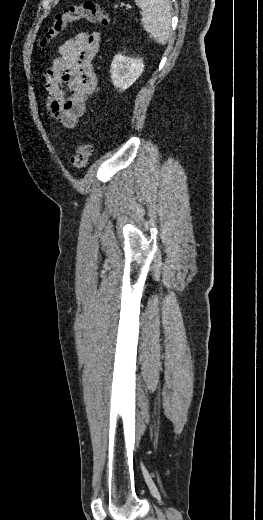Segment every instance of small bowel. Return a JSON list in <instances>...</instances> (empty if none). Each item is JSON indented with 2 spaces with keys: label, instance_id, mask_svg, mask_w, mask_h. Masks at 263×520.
<instances>
[{
  "label": "small bowel",
  "instance_id": "c3829d8e",
  "mask_svg": "<svg viewBox=\"0 0 263 520\" xmlns=\"http://www.w3.org/2000/svg\"><path fill=\"white\" fill-rule=\"evenodd\" d=\"M98 32L79 33L59 48V56L44 74L49 116L66 128H74L86 111L97 85L92 61L98 53Z\"/></svg>",
  "mask_w": 263,
  "mask_h": 520
}]
</instances>
